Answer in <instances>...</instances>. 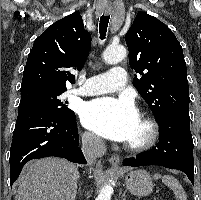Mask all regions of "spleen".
<instances>
[{
    "instance_id": "obj_1",
    "label": "spleen",
    "mask_w": 201,
    "mask_h": 200,
    "mask_svg": "<svg viewBox=\"0 0 201 200\" xmlns=\"http://www.w3.org/2000/svg\"><path fill=\"white\" fill-rule=\"evenodd\" d=\"M154 179H162V182L168 186L174 193L177 200H187V195L182 187V185L179 183V181L174 178L171 175H160L155 174Z\"/></svg>"
}]
</instances>
